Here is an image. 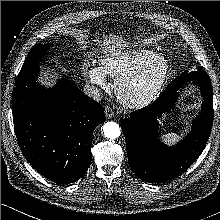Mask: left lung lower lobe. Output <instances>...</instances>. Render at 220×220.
<instances>
[{
    "label": "left lung lower lobe",
    "mask_w": 220,
    "mask_h": 220,
    "mask_svg": "<svg viewBox=\"0 0 220 220\" xmlns=\"http://www.w3.org/2000/svg\"><path fill=\"white\" fill-rule=\"evenodd\" d=\"M193 81L203 96L201 114L195 118L192 131L177 146L168 148L158 140L157 117L173 109L178 91L185 85H168L150 105L133 111L121 121L127 155L133 172L142 180L161 183L181 175L203 151L213 124V91L210 79Z\"/></svg>",
    "instance_id": "1"
}]
</instances>
